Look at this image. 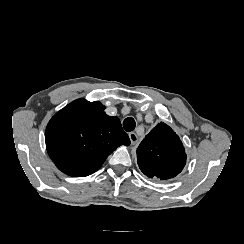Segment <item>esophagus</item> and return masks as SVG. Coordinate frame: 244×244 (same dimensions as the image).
<instances>
[{
    "instance_id": "obj_1",
    "label": "esophagus",
    "mask_w": 244,
    "mask_h": 244,
    "mask_svg": "<svg viewBox=\"0 0 244 244\" xmlns=\"http://www.w3.org/2000/svg\"><path fill=\"white\" fill-rule=\"evenodd\" d=\"M129 138H130L132 145H135L138 141V137H137L136 133H134V132L129 133Z\"/></svg>"
}]
</instances>
